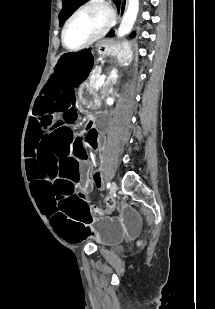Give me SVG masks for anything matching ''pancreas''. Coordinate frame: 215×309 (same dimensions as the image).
<instances>
[{
    "instance_id": "cf45deb5",
    "label": "pancreas",
    "mask_w": 215,
    "mask_h": 309,
    "mask_svg": "<svg viewBox=\"0 0 215 309\" xmlns=\"http://www.w3.org/2000/svg\"><path fill=\"white\" fill-rule=\"evenodd\" d=\"M100 72H102V70H100V68H98V70H94L93 74H100ZM97 80H99V76H96V78H93V80H91L90 86H93V88H96ZM107 86H108V82H104L103 86H101V90H105V88H107Z\"/></svg>"
}]
</instances>
